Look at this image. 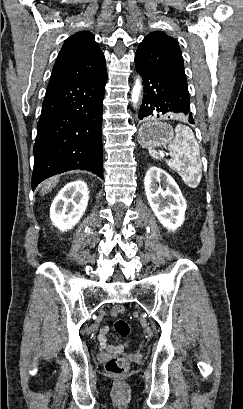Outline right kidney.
Masks as SVG:
<instances>
[{
	"instance_id": "obj_1",
	"label": "right kidney",
	"mask_w": 243,
	"mask_h": 409,
	"mask_svg": "<svg viewBox=\"0 0 243 409\" xmlns=\"http://www.w3.org/2000/svg\"><path fill=\"white\" fill-rule=\"evenodd\" d=\"M88 199L89 190L84 181L78 180L66 184L51 204L52 223L61 231L73 228L83 216Z\"/></svg>"
}]
</instances>
